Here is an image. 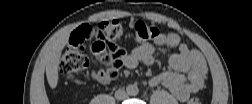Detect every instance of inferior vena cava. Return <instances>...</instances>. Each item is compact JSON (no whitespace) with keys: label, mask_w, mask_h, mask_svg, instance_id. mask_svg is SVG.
<instances>
[{"label":"inferior vena cava","mask_w":252,"mask_h":104,"mask_svg":"<svg viewBox=\"0 0 252 104\" xmlns=\"http://www.w3.org/2000/svg\"><path fill=\"white\" fill-rule=\"evenodd\" d=\"M126 97H127V93H126V91L124 89H118L115 92V98L117 100H124Z\"/></svg>","instance_id":"1"}]
</instances>
